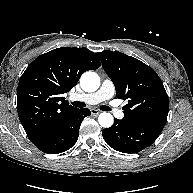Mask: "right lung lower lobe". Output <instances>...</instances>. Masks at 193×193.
I'll return each mask as SVG.
<instances>
[{"instance_id": "98d812e1", "label": "right lung lower lobe", "mask_w": 193, "mask_h": 193, "mask_svg": "<svg viewBox=\"0 0 193 193\" xmlns=\"http://www.w3.org/2000/svg\"><path fill=\"white\" fill-rule=\"evenodd\" d=\"M89 115V109H77L59 123L48 135L33 144L42 152L48 154H58L70 149L78 139L82 120Z\"/></svg>"}]
</instances>
